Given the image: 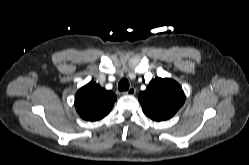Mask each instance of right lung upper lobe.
<instances>
[{
    "label": "right lung upper lobe",
    "instance_id": "cb5924a9",
    "mask_svg": "<svg viewBox=\"0 0 249 165\" xmlns=\"http://www.w3.org/2000/svg\"><path fill=\"white\" fill-rule=\"evenodd\" d=\"M116 96L91 81L78 90L75 107L81 118L97 121L104 118L112 109Z\"/></svg>",
    "mask_w": 249,
    "mask_h": 165
}]
</instances>
